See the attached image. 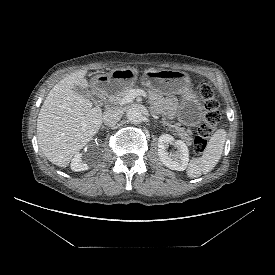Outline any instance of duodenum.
I'll use <instances>...</instances> for the list:
<instances>
[{
	"instance_id": "1",
	"label": "duodenum",
	"mask_w": 275,
	"mask_h": 275,
	"mask_svg": "<svg viewBox=\"0 0 275 275\" xmlns=\"http://www.w3.org/2000/svg\"><path fill=\"white\" fill-rule=\"evenodd\" d=\"M98 97H99L101 100H103V99H104V96H103V94H102V93H99V94H98Z\"/></svg>"
}]
</instances>
